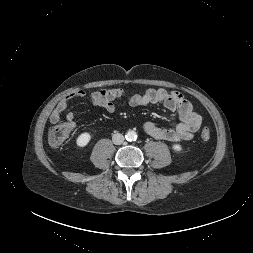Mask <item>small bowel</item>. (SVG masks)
I'll list each match as a JSON object with an SVG mask.
<instances>
[{
    "label": "small bowel",
    "instance_id": "c3829d8e",
    "mask_svg": "<svg viewBox=\"0 0 253 253\" xmlns=\"http://www.w3.org/2000/svg\"><path fill=\"white\" fill-rule=\"evenodd\" d=\"M88 97L91 104L100 107L108 113L115 111L114 101L125 99L132 107L146 106L149 104L163 105L168 111L176 112L180 121L172 123L169 127L163 128L157 123L146 121L143 123V131L156 139L169 142H182L191 140L202 124L201 116L194 112L192 104L179 91H168L163 88H150L143 93L128 94L121 88H110L87 93L84 90H75L66 96L56 105L50 114V122L57 124L62 113L68 107L71 100ZM67 122L75 127V114L73 111L67 113Z\"/></svg>",
    "mask_w": 253,
    "mask_h": 253
}]
</instances>
